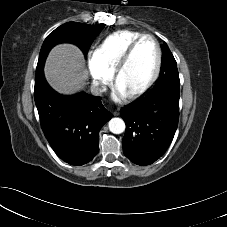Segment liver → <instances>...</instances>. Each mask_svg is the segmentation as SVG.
Masks as SVG:
<instances>
[{"label":"liver","mask_w":227,"mask_h":227,"mask_svg":"<svg viewBox=\"0 0 227 227\" xmlns=\"http://www.w3.org/2000/svg\"><path fill=\"white\" fill-rule=\"evenodd\" d=\"M44 73L53 89L63 94L79 91L88 77L82 52L71 44H59L51 50Z\"/></svg>","instance_id":"obj_1"}]
</instances>
